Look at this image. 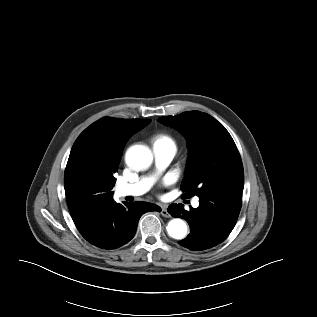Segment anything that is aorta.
I'll use <instances>...</instances> for the list:
<instances>
[{
    "label": "aorta",
    "mask_w": 317,
    "mask_h": 317,
    "mask_svg": "<svg viewBox=\"0 0 317 317\" xmlns=\"http://www.w3.org/2000/svg\"><path fill=\"white\" fill-rule=\"evenodd\" d=\"M152 161V152L146 146L134 145L126 152V163L134 170H145L152 164ZM166 229L168 235L174 239L180 240L187 235V225L180 218L170 220Z\"/></svg>",
    "instance_id": "aorta-1"
}]
</instances>
